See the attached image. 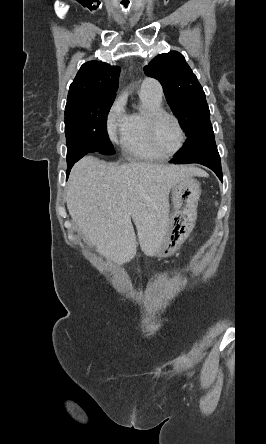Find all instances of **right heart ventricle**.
Returning a JSON list of instances; mask_svg holds the SVG:
<instances>
[{"instance_id": "right-heart-ventricle-1", "label": "right heart ventricle", "mask_w": 266, "mask_h": 444, "mask_svg": "<svg viewBox=\"0 0 266 444\" xmlns=\"http://www.w3.org/2000/svg\"><path fill=\"white\" fill-rule=\"evenodd\" d=\"M140 96L145 106V111L136 112L127 117L121 138L122 150L127 156L135 160H161L163 156L153 150L146 132L147 116L152 111L162 109L161 101L145 94H140Z\"/></svg>"}]
</instances>
